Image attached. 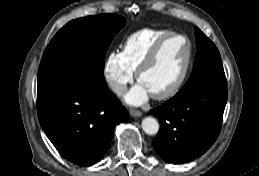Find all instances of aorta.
Segmentation results:
<instances>
[{
    "instance_id": "1",
    "label": "aorta",
    "mask_w": 259,
    "mask_h": 176,
    "mask_svg": "<svg viewBox=\"0 0 259 176\" xmlns=\"http://www.w3.org/2000/svg\"><path fill=\"white\" fill-rule=\"evenodd\" d=\"M159 123L153 117H146L142 120V129L148 135H155L159 131Z\"/></svg>"
}]
</instances>
